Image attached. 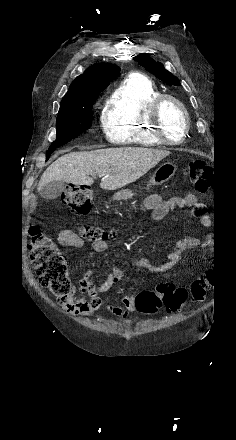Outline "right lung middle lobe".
Instances as JSON below:
<instances>
[{
	"mask_svg": "<svg viewBox=\"0 0 236 440\" xmlns=\"http://www.w3.org/2000/svg\"><path fill=\"white\" fill-rule=\"evenodd\" d=\"M98 94L61 103L56 120L57 138L49 149H56L66 144L91 127L92 105Z\"/></svg>",
	"mask_w": 236,
	"mask_h": 440,
	"instance_id": "1",
	"label": "right lung middle lobe"
}]
</instances>
